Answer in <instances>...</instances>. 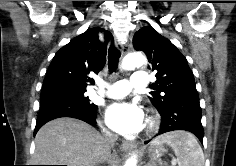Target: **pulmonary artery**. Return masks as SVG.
I'll list each match as a JSON object with an SVG mask.
<instances>
[{
  "label": "pulmonary artery",
  "mask_w": 236,
  "mask_h": 166,
  "mask_svg": "<svg viewBox=\"0 0 236 166\" xmlns=\"http://www.w3.org/2000/svg\"><path fill=\"white\" fill-rule=\"evenodd\" d=\"M148 74L145 71H135L130 79L127 80H119L112 83L107 91L106 96L110 98H122L126 96L132 89V87L140 88L145 87L148 83L147 81Z\"/></svg>",
  "instance_id": "pulmonary-artery-1"
}]
</instances>
